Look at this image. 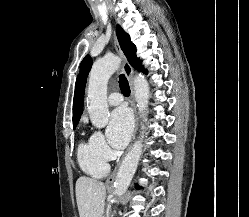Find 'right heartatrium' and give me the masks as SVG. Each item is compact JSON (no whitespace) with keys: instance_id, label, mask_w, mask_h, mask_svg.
<instances>
[{"instance_id":"d8ad5b80","label":"right heart atrium","mask_w":249,"mask_h":217,"mask_svg":"<svg viewBox=\"0 0 249 217\" xmlns=\"http://www.w3.org/2000/svg\"><path fill=\"white\" fill-rule=\"evenodd\" d=\"M91 144L95 151L98 153V155L105 161H108L112 157V151L109 148L105 137L100 131H95L91 138H90Z\"/></svg>"}]
</instances>
